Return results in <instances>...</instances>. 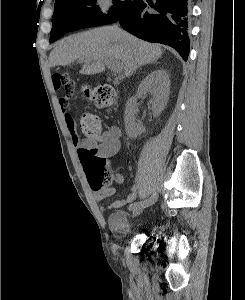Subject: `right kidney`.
<instances>
[{"label": "right kidney", "instance_id": "1", "mask_svg": "<svg viewBox=\"0 0 245 300\" xmlns=\"http://www.w3.org/2000/svg\"><path fill=\"white\" fill-rule=\"evenodd\" d=\"M170 93L169 75L164 70L151 72L139 85L137 94L131 97L127 104L124 114L125 130L130 138H136L145 132L143 124L136 122L135 111L138 97L147 94L152 95V111L154 116H158L165 108Z\"/></svg>", "mask_w": 245, "mask_h": 300}]
</instances>
